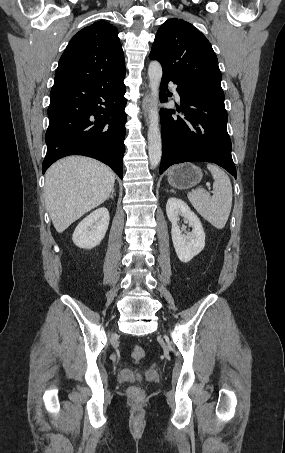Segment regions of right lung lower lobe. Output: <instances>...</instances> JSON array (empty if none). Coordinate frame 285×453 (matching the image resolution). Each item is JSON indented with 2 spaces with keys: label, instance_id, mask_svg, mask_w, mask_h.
I'll return each instance as SVG.
<instances>
[{
  "label": "right lung lower lobe",
  "instance_id": "right-lung-lower-lobe-1",
  "mask_svg": "<svg viewBox=\"0 0 285 453\" xmlns=\"http://www.w3.org/2000/svg\"><path fill=\"white\" fill-rule=\"evenodd\" d=\"M125 73L54 79L48 107L43 173L62 157L84 155L107 164L122 179L126 131Z\"/></svg>",
  "mask_w": 285,
  "mask_h": 453
}]
</instances>
